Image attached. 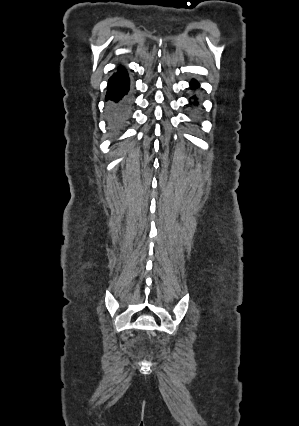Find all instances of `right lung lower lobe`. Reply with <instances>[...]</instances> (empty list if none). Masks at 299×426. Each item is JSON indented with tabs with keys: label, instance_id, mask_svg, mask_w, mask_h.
<instances>
[{
	"label": "right lung lower lobe",
	"instance_id": "obj_1",
	"mask_svg": "<svg viewBox=\"0 0 299 426\" xmlns=\"http://www.w3.org/2000/svg\"><path fill=\"white\" fill-rule=\"evenodd\" d=\"M129 91V78L122 67L108 81L105 100L108 101V119L114 129L123 128L131 114L132 100Z\"/></svg>",
	"mask_w": 299,
	"mask_h": 426
}]
</instances>
